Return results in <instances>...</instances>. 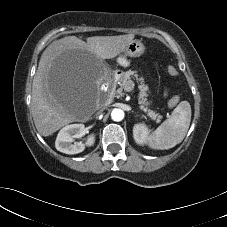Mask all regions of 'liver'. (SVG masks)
I'll return each mask as SVG.
<instances>
[{
	"label": "liver",
	"instance_id": "obj_1",
	"mask_svg": "<svg viewBox=\"0 0 227 227\" xmlns=\"http://www.w3.org/2000/svg\"><path fill=\"white\" fill-rule=\"evenodd\" d=\"M135 35L93 36L87 42L66 36L53 41L42 53L32 84L31 112L37 131L49 136L61 127L79 119H89L94 108L84 113L81 101L89 92L92 101H98L102 66L99 60L112 59L124 51ZM66 60L81 63L88 74L85 88L74 95L59 92L52 81L55 67Z\"/></svg>",
	"mask_w": 227,
	"mask_h": 227
}]
</instances>
